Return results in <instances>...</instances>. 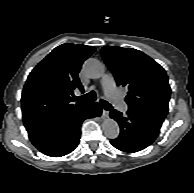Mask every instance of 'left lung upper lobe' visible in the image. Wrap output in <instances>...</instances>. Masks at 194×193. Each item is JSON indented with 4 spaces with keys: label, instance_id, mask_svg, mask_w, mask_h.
Here are the masks:
<instances>
[{
    "label": "left lung upper lobe",
    "instance_id": "left-lung-upper-lobe-1",
    "mask_svg": "<svg viewBox=\"0 0 194 193\" xmlns=\"http://www.w3.org/2000/svg\"><path fill=\"white\" fill-rule=\"evenodd\" d=\"M101 53L117 85L129 90V110L164 121L171 94L165 70L136 49L105 46Z\"/></svg>",
    "mask_w": 194,
    "mask_h": 193
}]
</instances>
